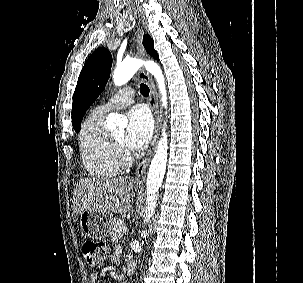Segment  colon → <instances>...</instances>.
Returning <instances> with one entry per match:
<instances>
[{"label": "colon", "mask_w": 303, "mask_h": 283, "mask_svg": "<svg viewBox=\"0 0 303 283\" xmlns=\"http://www.w3.org/2000/svg\"><path fill=\"white\" fill-rule=\"evenodd\" d=\"M82 256L93 268H99L110 254L109 246L100 241L87 240L81 245Z\"/></svg>", "instance_id": "colon-1"}]
</instances>
